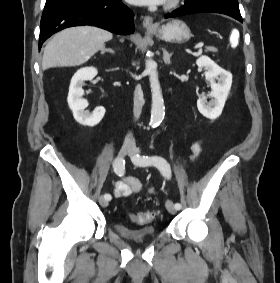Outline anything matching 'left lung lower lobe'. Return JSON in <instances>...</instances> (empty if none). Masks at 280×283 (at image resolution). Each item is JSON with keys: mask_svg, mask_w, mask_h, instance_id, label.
<instances>
[{"mask_svg": "<svg viewBox=\"0 0 280 283\" xmlns=\"http://www.w3.org/2000/svg\"><path fill=\"white\" fill-rule=\"evenodd\" d=\"M199 12L221 13V14L231 16V17L237 19L238 21L242 22L241 16L235 15L234 13H232V12L226 10V9H223L221 7L214 6V5L201 4V3L185 4L182 7L173 11L172 13L166 14L164 17L165 18H172V17H178V16H182V15H186V14L199 13Z\"/></svg>", "mask_w": 280, "mask_h": 283, "instance_id": "left-lung-lower-lobe-1", "label": "left lung lower lobe"}]
</instances>
